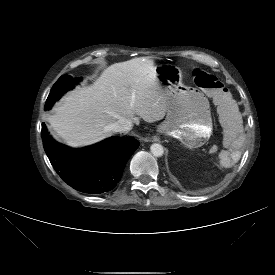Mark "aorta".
Listing matches in <instances>:
<instances>
[{"instance_id": "762f6f07", "label": "aorta", "mask_w": 275, "mask_h": 275, "mask_svg": "<svg viewBox=\"0 0 275 275\" xmlns=\"http://www.w3.org/2000/svg\"><path fill=\"white\" fill-rule=\"evenodd\" d=\"M150 151H151L152 155L155 157H161L164 153L163 146L158 143L152 144L150 147Z\"/></svg>"}]
</instances>
